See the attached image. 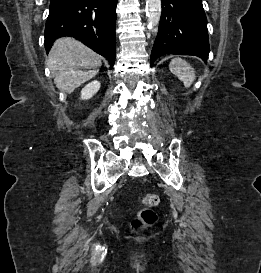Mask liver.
Masks as SVG:
<instances>
[{
    "mask_svg": "<svg viewBox=\"0 0 261 273\" xmlns=\"http://www.w3.org/2000/svg\"><path fill=\"white\" fill-rule=\"evenodd\" d=\"M46 65L55 73L56 87L72 93L84 82L92 79L101 67V57L73 38L55 41L46 59Z\"/></svg>",
    "mask_w": 261,
    "mask_h": 273,
    "instance_id": "obj_1",
    "label": "liver"
}]
</instances>
